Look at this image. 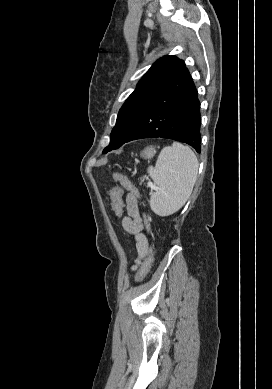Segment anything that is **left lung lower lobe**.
<instances>
[{
  "mask_svg": "<svg viewBox=\"0 0 272 389\" xmlns=\"http://www.w3.org/2000/svg\"><path fill=\"white\" fill-rule=\"evenodd\" d=\"M158 137L187 143L201 152L200 102L186 68L151 99L124 143Z\"/></svg>",
  "mask_w": 272,
  "mask_h": 389,
  "instance_id": "0a47b994",
  "label": "left lung lower lobe"
}]
</instances>
